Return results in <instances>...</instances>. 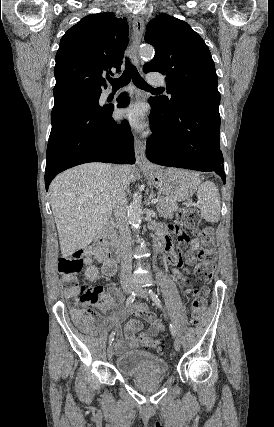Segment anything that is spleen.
<instances>
[{
    "label": "spleen",
    "mask_w": 274,
    "mask_h": 427,
    "mask_svg": "<svg viewBox=\"0 0 274 427\" xmlns=\"http://www.w3.org/2000/svg\"><path fill=\"white\" fill-rule=\"evenodd\" d=\"M198 208L206 221H219L220 194L213 182H203L198 186Z\"/></svg>",
    "instance_id": "spleen-1"
}]
</instances>
